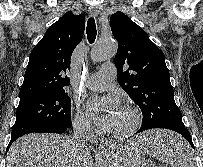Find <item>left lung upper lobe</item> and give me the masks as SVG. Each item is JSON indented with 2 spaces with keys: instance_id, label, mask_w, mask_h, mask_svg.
<instances>
[{
  "instance_id": "obj_1",
  "label": "left lung upper lobe",
  "mask_w": 203,
  "mask_h": 167,
  "mask_svg": "<svg viewBox=\"0 0 203 167\" xmlns=\"http://www.w3.org/2000/svg\"><path fill=\"white\" fill-rule=\"evenodd\" d=\"M118 51L117 80L143 114L141 128L184 127L176 106L164 53L122 12L110 17Z\"/></svg>"
}]
</instances>
